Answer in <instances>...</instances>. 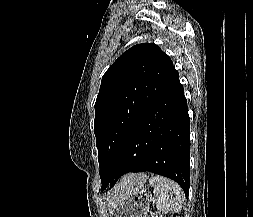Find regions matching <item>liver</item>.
Returning a JSON list of instances; mask_svg holds the SVG:
<instances>
[{
    "label": "liver",
    "instance_id": "1",
    "mask_svg": "<svg viewBox=\"0 0 253 217\" xmlns=\"http://www.w3.org/2000/svg\"><path fill=\"white\" fill-rule=\"evenodd\" d=\"M147 178V175L143 173H131L123 176L114 187L111 201L114 202L118 197L129 194L135 187L142 186Z\"/></svg>",
    "mask_w": 253,
    "mask_h": 217
}]
</instances>
